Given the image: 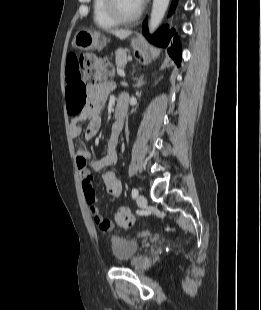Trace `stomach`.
I'll use <instances>...</instances> for the list:
<instances>
[{"instance_id": "0dacf381", "label": "stomach", "mask_w": 261, "mask_h": 310, "mask_svg": "<svg viewBox=\"0 0 261 310\" xmlns=\"http://www.w3.org/2000/svg\"><path fill=\"white\" fill-rule=\"evenodd\" d=\"M75 47L82 51L101 50L106 45V38L98 31L80 30L76 33L73 39ZM132 47L136 51H140L142 46L140 42L133 40Z\"/></svg>"}]
</instances>
